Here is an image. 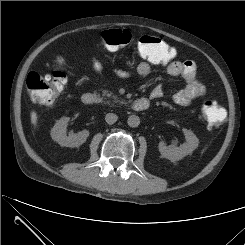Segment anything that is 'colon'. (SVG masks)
Wrapping results in <instances>:
<instances>
[{"mask_svg":"<svg viewBox=\"0 0 245 245\" xmlns=\"http://www.w3.org/2000/svg\"><path fill=\"white\" fill-rule=\"evenodd\" d=\"M132 40L133 36L127 29H109L102 34L103 44L111 49L125 47ZM137 51L142 59L153 64H167L175 56L174 51L162 39L149 35L138 38ZM26 85L34 102L50 105L62 93L66 85V78L59 71L44 76L31 71L27 75ZM202 115L207 129L214 130L224 122L226 112L218 101L211 99L204 102Z\"/></svg>","mask_w":245,"mask_h":245,"instance_id":"1","label":"colon"}]
</instances>
